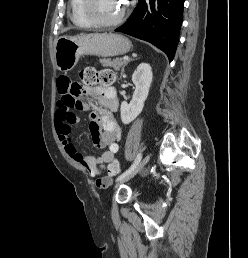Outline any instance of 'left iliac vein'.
<instances>
[{"label": "left iliac vein", "instance_id": "4c4485c4", "mask_svg": "<svg viewBox=\"0 0 248 258\" xmlns=\"http://www.w3.org/2000/svg\"><path fill=\"white\" fill-rule=\"evenodd\" d=\"M150 158H151V156L147 155L130 174H128L127 176H125L124 178H122L121 180H119L116 183L114 189H117L121 184L132 179L138 172H140L146 166V164L149 162Z\"/></svg>", "mask_w": 248, "mask_h": 258}]
</instances>
